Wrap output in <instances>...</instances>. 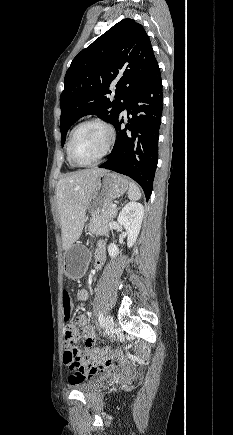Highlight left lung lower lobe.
Here are the masks:
<instances>
[{
	"instance_id": "left-lung-lower-lobe-1",
	"label": "left lung lower lobe",
	"mask_w": 233,
	"mask_h": 435,
	"mask_svg": "<svg viewBox=\"0 0 233 435\" xmlns=\"http://www.w3.org/2000/svg\"><path fill=\"white\" fill-rule=\"evenodd\" d=\"M161 74L158 64L135 92L124 109L132 118L125 129L119 117L113 124L117 133L109 159L100 165L131 177L149 200L158 161V137L163 110ZM123 109V110H124Z\"/></svg>"
}]
</instances>
